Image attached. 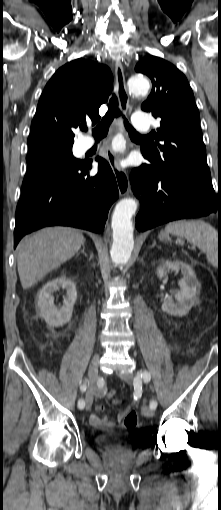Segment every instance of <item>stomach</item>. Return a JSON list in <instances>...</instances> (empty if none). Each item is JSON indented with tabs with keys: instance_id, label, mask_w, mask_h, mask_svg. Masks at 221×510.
<instances>
[{
	"instance_id": "1",
	"label": "stomach",
	"mask_w": 221,
	"mask_h": 510,
	"mask_svg": "<svg viewBox=\"0 0 221 510\" xmlns=\"http://www.w3.org/2000/svg\"><path fill=\"white\" fill-rule=\"evenodd\" d=\"M167 238H168V234H167L166 232H161V233L159 234V239H160V240H165V239H167Z\"/></svg>"
}]
</instances>
